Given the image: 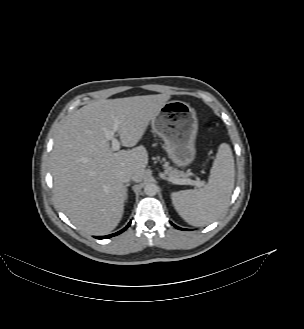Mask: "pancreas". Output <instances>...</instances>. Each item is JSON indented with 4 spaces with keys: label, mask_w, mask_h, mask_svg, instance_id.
Here are the masks:
<instances>
[{
    "label": "pancreas",
    "mask_w": 304,
    "mask_h": 329,
    "mask_svg": "<svg viewBox=\"0 0 304 329\" xmlns=\"http://www.w3.org/2000/svg\"><path fill=\"white\" fill-rule=\"evenodd\" d=\"M164 169H165V174L172 178L185 179L189 175H191L190 172L184 173L183 171L174 169L173 167L169 166L167 162L164 164Z\"/></svg>",
    "instance_id": "pancreas-1"
}]
</instances>
